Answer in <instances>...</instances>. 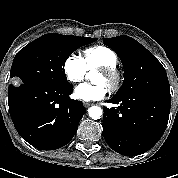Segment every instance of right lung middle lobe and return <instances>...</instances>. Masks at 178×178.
<instances>
[{
	"instance_id": "obj_1",
	"label": "right lung middle lobe",
	"mask_w": 178,
	"mask_h": 178,
	"mask_svg": "<svg viewBox=\"0 0 178 178\" xmlns=\"http://www.w3.org/2000/svg\"><path fill=\"white\" fill-rule=\"evenodd\" d=\"M97 38L45 34L15 56L10 77L17 84L59 86L67 84L64 65L72 52Z\"/></svg>"
}]
</instances>
